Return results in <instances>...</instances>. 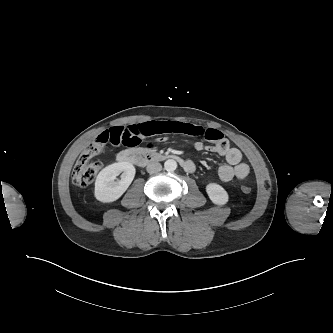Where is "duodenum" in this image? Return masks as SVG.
Segmentation results:
<instances>
[{
	"mask_svg": "<svg viewBox=\"0 0 333 333\" xmlns=\"http://www.w3.org/2000/svg\"><path fill=\"white\" fill-rule=\"evenodd\" d=\"M118 160L121 162L136 164L138 166H146L150 163L165 160H174L179 162L186 171L189 169L187 161L183 160L179 155L173 153L164 154L137 150H124L119 154Z\"/></svg>",
	"mask_w": 333,
	"mask_h": 333,
	"instance_id": "duodenum-1",
	"label": "duodenum"
}]
</instances>
